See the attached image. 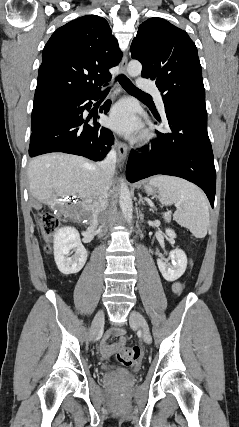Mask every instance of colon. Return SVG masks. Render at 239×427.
<instances>
[{
	"mask_svg": "<svg viewBox=\"0 0 239 427\" xmlns=\"http://www.w3.org/2000/svg\"><path fill=\"white\" fill-rule=\"evenodd\" d=\"M38 223L41 233L44 237L48 238L58 228V220L50 213H43L38 216ZM141 356V349L139 346L123 347L118 350L115 355V360L124 366L134 365Z\"/></svg>",
	"mask_w": 239,
	"mask_h": 427,
	"instance_id": "1",
	"label": "colon"
}]
</instances>
